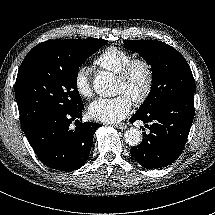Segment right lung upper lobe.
<instances>
[{
    "label": "right lung upper lobe",
    "instance_id": "right-lung-upper-lobe-1",
    "mask_svg": "<svg viewBox=\"0 0 215 215\" xmlns=\"http://www.w3.org/2000/svg\"><path fill=\"white\" fill-rule=\"evenodd\" d=\"M54 40H49V41H45L42 42L40 44H38L37 46H35L28 54L25 58H29L31 56H33L35 53H37L43 46H45L46 44H48L49 42H52Z\"/></svg>",
    "mask_w": 215,
    "mask_h": 215
}]
</instances>
